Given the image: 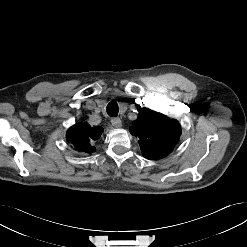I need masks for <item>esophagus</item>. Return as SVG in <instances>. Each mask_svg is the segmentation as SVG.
Returning <instances> with one entry per match:
<instances>
[{
  "label": "esophagus",
  "mask_w": 247,
  "mask_h": 247,
  "mask_svg": "<svg viewBox=\"0 0 247 247\" xmlns=\"http://www.w3.org/2000/svg\"><path fill=\"white\" fill-rule=\"evenodd\" d=\"M111 123L116 128H120L122 126V122H121L120 118H116V117L112 118Z\"/></svg>",
  "instance_id": "1"
}]
</instances>
